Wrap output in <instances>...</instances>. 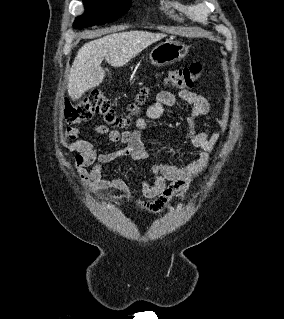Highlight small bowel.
I'll return each instance as SVG.
<instances>
[{"instance_id":"c3829d8e","label":"small bowel","mask_w":284,"mask_h":319,"mask_svg":"<svg viewBox=\"0 0 284 319\" xmlns=\"http://www.w3.org/2000/svg\"><path fill=\"white\" fill-rule=\"evenodd\" d=\"M181 100L190 105L187 116L186 137L191 145L200 149L199 157L186 166L173 163L157 162L152 165L154 180H142L143 195L149 200L135 202L138 209L150 214L161 213L170 201L179 196L183 198L199 177L206 173L210 166L211 154L215 150L221 133L226 129L227 121H219L221 132L209 134L196 129L195 120L199 116L207 115L210 111L208 100L194 92L183 89L178 96L169 91L157 94L155 102L147 111L146 117H140L135 122V129L119 133L105 125H97L94 131L106 136L109 141L121 143L123 147L118 150L97 153L91 142L78 138L79 129L68 128L65 139L68 141L67 153H76L74 168L84 188L96 193L113 190L123 199H131L129 186L119 178L104 179L103 170L107 164L118 158H131L135 161L147 160L150 157L143 140L142 133L147 128L148 120L160 119L167 107L175 105ZM90 167V169H87Z\"/></svg>"}]
</instances>
